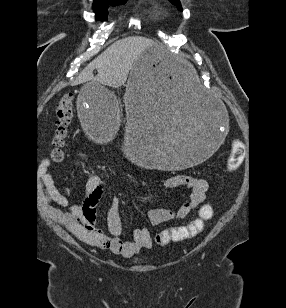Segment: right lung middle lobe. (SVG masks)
Returning a JSON list of instances; mask_svg holds the SVG:
<instances>
[{"instance_id": "right-lung-middle-lobe-1", "label": "right lung middle lobe", "mask_w": 286, "mask_h": 308, "mask_svg": "<svg viewBox=\"0 0 286 308\" xmlns=\"http://www.w3.org/2000/svg\"><path fill=\"white\" fill-rule=\"evenodd\" d=\"M125 2L126 0H121V1H113L107 4H101V5L93 4V9H94V12L96 13V19L106 20L107 15H108L107 7L109 5L116 6L119 4H124Z\"/></svg>"}]
</instances>
